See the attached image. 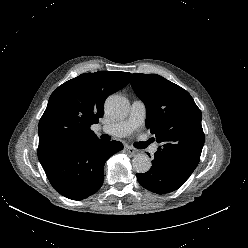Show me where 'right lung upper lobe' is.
<instances>
[{
	"label": "right lung upper lobe",
	"instance_id": "1",
	"mask_svg": "<svg viewBox=\"0 0 248 248\" xmlns=\"http://www.w3.org/2000/svg\"><path fill=\"white\" fill-rule=\"evenodd\" d=\"M130 78L128 72L99 71L81 74L59 86L39 122L41 165L78 140L96 138L90 126L103 116L105 98L124 88Z\"/></svg>",
	"mask_w": 248,
	"mask_h": 248
}]
</instances>
